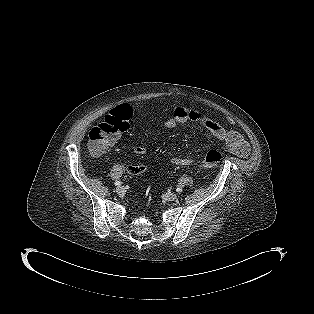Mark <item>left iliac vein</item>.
<instances>
[{
	"mask_svg": "<svg viewBox=\"0 0 314 314\" xmlns=\"http://www.w3.org/2000/svg\"><path fill=\"white\" fill-rule=\"evenodd\" d=\"M165 198L168 201H175L178 198V195L176 193H167L165 194Z\"/></svg>",
	"mask_w": 314,
	"mask_h": 314,
	"instance_id": "obj_1",
	"label": "left iliac vein"
}]
</instances>
